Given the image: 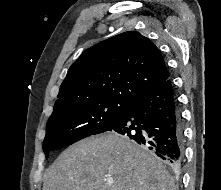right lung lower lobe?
I'll use <instances>...</instances> for the list:
<instances>
[{"mask_svg": "<svg viewBox=\"0 0 221 190\" xmlns=\"http://www.w3.org/2000/svg\"><path fill=\"white\" fill-rule=\"evenodd\" d=\"M109 131L128 136L178 167L183 159V126L171 79L130 101Z\"/></svg>", "mask_w": 221, "mask_h": 190, "instance_id": "1", "label": "right lung lower lobe"}]
</instances>
